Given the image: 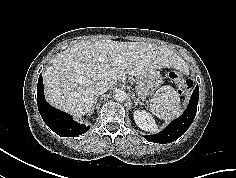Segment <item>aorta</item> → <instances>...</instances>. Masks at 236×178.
<instances>
[{
    "label": "aorta",
    "instance_id": "762f6f07",
    "mask_svg": "<svg viewBox=\"0 0 236 178\" xmlns=\"http://www.w3.org/2000/svg\"><path fill=\"white\" fill-rule=\"evenodd\" d=\"M114 99L118 102H123L127 98V94L124 90L118 89L115 91V94L113 95Z\"/></svg>",
    "mask_w": 236,
    "mask_h": 178
}]
</instances>
